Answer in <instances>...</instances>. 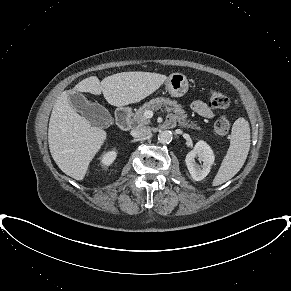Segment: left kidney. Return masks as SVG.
<instances>
[{
  "label": "left kidney",
  "instance_id": "5707ae66",
  "mask_svg": "<svg viewBox=\"0 0 291 291\" xmlns=\"http://www.w3.org/2000/svg\"><path fill=\"white\" fill-rule=\"evenodd\" d=\"M196 157L199 158V161L203 162L202 165L196 164ZM214 159L215 157L211 147L205 141H198L193 150L186 155L185 159L191 177L195 181L204 179L209 174Z\"/></svg>",
  "mask_w": 291,
  "mask_h": 291
}]
</instances>
